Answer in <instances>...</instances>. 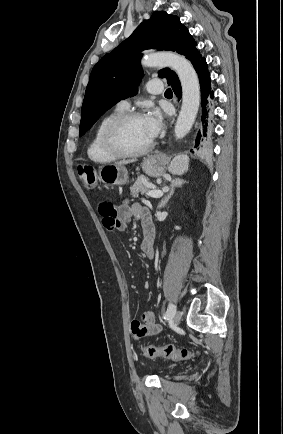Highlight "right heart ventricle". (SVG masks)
I'll use <instances>...</instances> for the list:
<instances>
[{
  "instance_id": "right-heart-ventricle-1",
  "label": "right heart ventricle",
  "mask_w": 283,
  "mask_h": 434,
  "mask_svg": "<svg viewBox=\"0 0 283 434\" xmlns=\"http://www.w3.org/2000/svg\"><path fill=\"white\" fill-rule=\"evenodd\" d=\"M125 110L116 108L109 114L105 115L97 124L93 135L91 137V140L87 147V154L90 160H92L95 163L99 164H107L114 162L118 159V157L108 153L103 145H102V132L105 128V126L113 120L115 117L119 116L120 114L124 113Z\"/></svg>"
}]
</instances>
